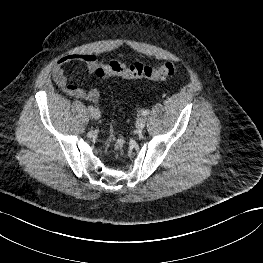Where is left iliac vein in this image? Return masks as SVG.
<instances>
[{
  "label": "left iliac vein",
  "mask_w": 263,
  "mask_h": 263,
  "mask_svg": "<svg viewBox=\"0 0 263 263\" xmlns=\"http://www.w3.org/2000/svg\"><path fill=\"white\" fill-rule=\"evenodd\" d=\"M146 125V119L144 117H140L136 121V127L138 130H142Z\"/></svg>",
  "instance_id": "4c4485c4"
}]
</instances>
